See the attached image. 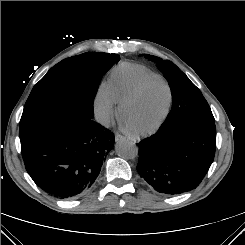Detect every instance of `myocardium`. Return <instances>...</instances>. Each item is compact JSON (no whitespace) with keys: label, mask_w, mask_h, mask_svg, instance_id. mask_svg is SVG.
<instances>
[{"label":"myocardium","mask_w":245,"mask_h":245,"mask_svg":"<svg viewBox=\"0 0 245 245\" xmlns=\"http://www.w3.org/2000/svg\"><path fill=\"white\" fill-rule=\"evenodd\" d=\"M152 82H160L162 83L166 89H167V93H168V99H167V103H166V107L164 109V112L163 114L161 115V117L150 127L148 128H144V129H134V128H131L129 126H127L125 124V121H124V110L125 108L132 104L133 102H135L139 97L140 95L142 94L143 90ZM172 100H173V94H172V89L169 85V83L162 77L160 76H152V77H149L145 80H143L137 87L136 89L127 97L125 98L121 103H120V106H119V114L122 118V122L123 124L125 125V127L127 128V130L129 132H131L132 134L134 135H137V136H145V135H149V134H152L154 133L155 131H157L161 126L162 124L164 123V121L166 120V118L168 117V114L170 112V108H171V104H172Z\"/></svg>","instance_id":"myocardium-1"}]
</instances>
